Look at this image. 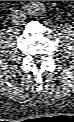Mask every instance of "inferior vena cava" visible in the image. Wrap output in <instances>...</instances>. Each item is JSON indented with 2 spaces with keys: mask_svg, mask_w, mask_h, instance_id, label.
<instances>
[{
  "mask_svg": "<svg viewBox=\"0 0 74 122\" xmlns=\"http://www.w3.org/2000/svg\"><path fill=\"white\" fill-rule=\"evenodd\" d=\"M25 13L21 10H15L12 14V21L14 24H22L25 21Z\"/></svg>",
  "mask_w": 74,
  "mask_h": 122,
  "instance_id": "inferior-vena-cava-1",
  "label": "inferior vena cava"
}]
</instances>
